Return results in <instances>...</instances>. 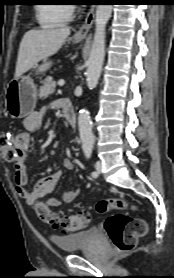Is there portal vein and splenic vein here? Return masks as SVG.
<instances>
[{"instance_id": "portal-vein-and-splenic-vein-1", "label": "portal vein and splenic vein", "mask_w": 174, "mask_h": 278, "mask_svg": "<svg viewBox=\"0 0 174 278\" xmlns=\"http://www.w3.org/2000/svg\"><path fill=\"white\" fill-rule=\"evenodd\" d=\"M59 86H63L64 85V81H59Z\"/></svg>"}]
</instances>
